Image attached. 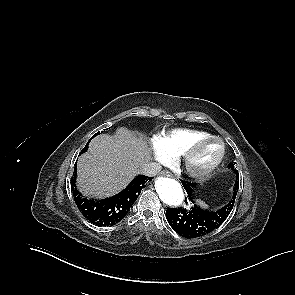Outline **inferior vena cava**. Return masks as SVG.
<instances>
[{"label":"inferior vena cava","instance_id":"inferior-vena-cava-1","mask_svg":"<svg viewBox=\"0 0 295 295\" xmlns=\"http://www.w3.org/2000/svg\"><path fill=\"white\" fill-rule=\"evenodd\" d=\"M161 171V166L158 163H147L141 169L140 173L145 176H156Z\"/></svg>","mask_w":295,"mask_h":295}]
</instances>
